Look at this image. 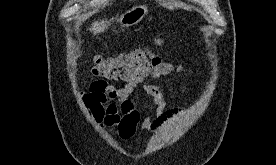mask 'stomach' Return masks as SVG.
<instances>
[{"mask_svg": "<svg viewBox=\"0 0 276 165\" xmlns=\"http://www.w3.org/2000/svg\"><path fill=\"white\" fill-rule=\"evenodd\" d=\"M147 7L145 5H136L132 9L124 13L118 22L121 26L130 27L138 24L146 15Z\"/></svg>", "mask_w": 276, "mask_h": 165, "instance_id": "stomach-1", "label": "stomach"}]
</instances>
